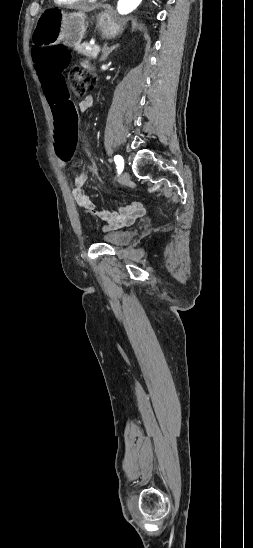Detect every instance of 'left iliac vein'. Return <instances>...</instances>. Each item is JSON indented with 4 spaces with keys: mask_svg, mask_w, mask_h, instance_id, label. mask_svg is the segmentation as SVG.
<instances>
[{
    "mask_svg": "<svg viewBox=\"0 0 253 548\" xmlns=\"http://www.w3.org/2000/svg\"><path fill=\"white\" fill-rule=\"evenodd\" d=\"M120 180H121V182H123V183H124V182H127V181L129 180V174L126 173V172L122 173L121 176H120Z\"/></svg>",
    "mask_w": 253,
    "mask_h": 548,
    "instance_id": "1",
    "label": "left iliac vein"
}]
</instances>
